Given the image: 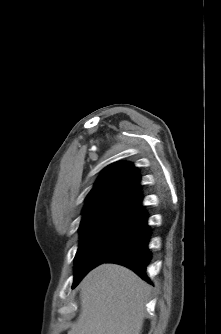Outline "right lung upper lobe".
<instances>
[{"label":"right lung upper lobe","mask_w":221,"mask_h":334,"mask_svg":"<svg viewBox=\"0 0 221 334\" xmlns=\"http://www.w3.org/2000/svg\"><path fill=\"white\" fill-rule=\"evenodd\" d=\"M140 177L131 163L109 165L86 197L82 222L102 215H130L147 218L141 205Z\"/></svg>","instance_id":"right-lung-upper-lobe-1"}]
</instances>
